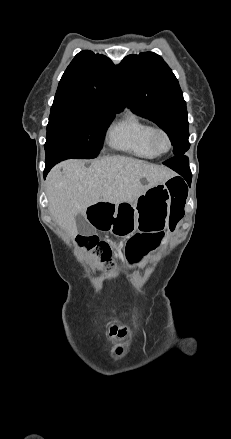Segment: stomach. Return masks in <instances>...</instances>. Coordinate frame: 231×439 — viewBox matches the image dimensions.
Returning <instances> with one entry per match:
<instances>
[{
	"instance_id": "1",
	"label": "stomach",
	"mask_w": 231,
	"mask_h": 439,
	"mask_svg": "<svg viewBox=\"0 0 231 439\" xmlns=\"http://www.w3.org/2000/svg\"><path fill=\"white\" fill-rule=\"evenodd\" d=\"M171 195L165 184H158L129 203L130 214L114 226V233L131 235L136 230H161L170 216Z\"/></svg>"
}]
</instances>
